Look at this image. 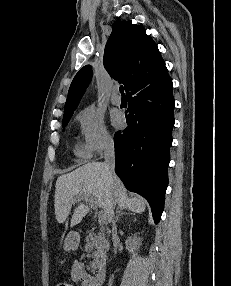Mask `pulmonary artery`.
Here are the masks:
<instances>
[{
  "instance_id": "obj_1",
  "label": "pulmonary artery",
  "mask_w": 231,
  "mask_h": 286,
  "mask_svg": "<svg viewBox=\"0 0 231 286\" xmlns=\"http://www.w3.org/2000/svg\"><path fill=\"white\" fill-rule=\"evenodd\" d=\"M110 100H111V103L116 106H119L122 103V99H121V96L119 95V91L117 87L113 89Z\"/></svg>"
}]
</instances>
